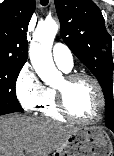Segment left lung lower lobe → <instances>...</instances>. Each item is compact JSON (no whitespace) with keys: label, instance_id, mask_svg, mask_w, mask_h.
Masks as SVG:
<instances>
[{"label":"left lung lower lobe","instance_id":"1","mask_svg":"<svg viewBox=\"0 0 114 156\" xmlns=\"http://www.w3.org/2000/svg\"><path fill=\"white\" fill-rule=\"evenodd\" d=\"M109 129H111V130L114 132V127H111V128H109Z\"/></svg>","mask_w":114,"mask_h":156}]
</instances>
